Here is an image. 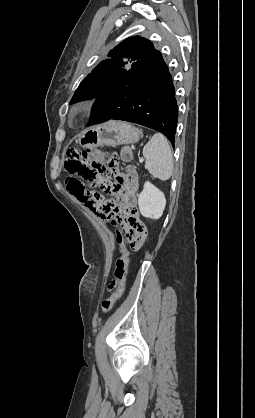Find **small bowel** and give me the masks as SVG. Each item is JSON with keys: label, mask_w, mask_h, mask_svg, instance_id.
Wrapping results in <instances>:
<instances>
[{"label": "small bowel", "mask_w": 255, "mask_h": 418, "mask_svg": "<svg viewBox=\"0 0 255 418\" xmlns=\"http://www.w3.org/2000/svg\"><path fill=\"white\" fill-rule=\"evenodd\" d=\"M110 163H121V154H110ZM139 187L138 175L134 170H129L126 173H116L114 183L112 185V193L117 195L121 200L120 212L127 214L136 204V193ZM118 234H123L126 237L128 249H142L145 244L147 229L146 228H121ZM112 281L107 290L112 292L116 287L114 283L117 280L115 275L110 277Z\"/></svg>", "instance_id": "c3829d8e"}]
</instances>
